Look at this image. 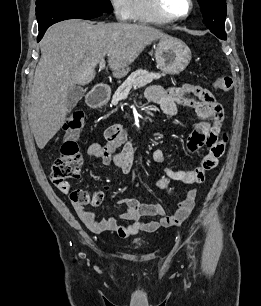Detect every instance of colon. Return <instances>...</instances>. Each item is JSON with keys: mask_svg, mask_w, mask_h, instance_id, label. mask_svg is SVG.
Instances as JSON below:
<instances>
[{"mask_svg": "<svg viewBox=\"0 0 261 306\" xmlns=\"http://www.w3.org/2000/svg\"><path fill=\"white\" fill-rule=\"evenodd\" d=\"M215 87L221 91H228L233 87V79L229 75H221L216 79ZM85 118L82 112H74L65 125L66 137L62 143L59 157L54 161L50 180L61 191L69 192V180L79 177L82 165V156L76 142L77 133L84 127ZM227 141L224 135L223 142ZM167 179L162 177L158 181L160 187H165ZM73 202L81 205H98L102 197L98 192L92 194L84 191H73L70 193Z\"/></svg>", "mask_w": 261, "mask_h": 306, "instance_id": "5ec220e1", "label": "colon"}]
</instances>
